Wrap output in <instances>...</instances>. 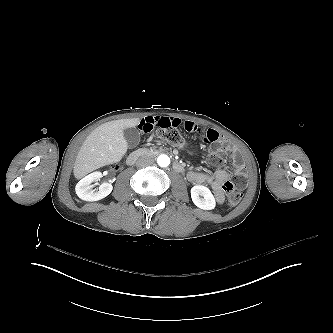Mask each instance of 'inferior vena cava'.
Returning a JSON list of instances; mask_svg holds the SVG:
<instances>
[{"instance_id":"obj_1","label":"inferior vena cava","mask_w":333,"mask_h":333,"mask_svg":"<svg viewBox=\"0 0 333 333\" xmlns=\"http://www.w3.org/2000/svg\"><path fill=\"white\" fill-rule=\"evenodd\" d=\"M154 163V158L151 155H143L136 161V166L139 168L152 165Z\"/></svg>"}]
</instances>
